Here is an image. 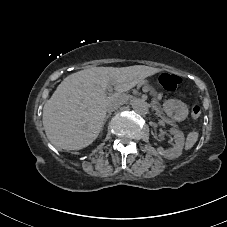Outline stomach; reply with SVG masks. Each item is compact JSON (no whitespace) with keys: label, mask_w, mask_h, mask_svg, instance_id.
Segmentation results:
<instances>
[{"label":"stomach","mask_w":227,"mask_h":227,"mask_svg":"<svg viewBox=\"0 0 227 227\" xmlns=\"http://www.w3.org/2000/svg\"><path fill=\"white\" fill-rule=\"evenodd\" d=\"M163 110L174 121H183L188 116L187 106L176 99L166 100L163 104Z\"/></svg>","instance_id":"stomach-1"}]
</instances>
